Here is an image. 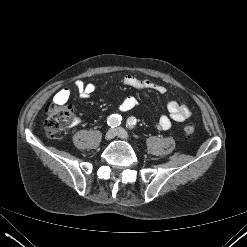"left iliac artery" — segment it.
I'll return each instance as SVG.
<instances>
[{
	"instance_id": "left-iliac-artery-1",
	"label": "left iliac artery",
	"mask_w": 247,
	"mask_h": 247,
	"mask_svg": "<svg viewBox=\"0 0 247 247\" xmlns=\"http://www.w3.org/2000/svg\"><path fill=\"white\" fill-rule=\"evenodd\" d=\"M136 124V118L135 117H129L126 122V126L129 129H133Z\"/></svg>"
}]
</instances>
